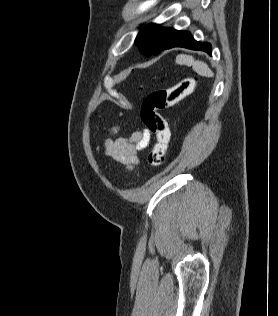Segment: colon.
<instances>
[{
  "mask_svg": "<svg viewBox=\"0 0 278 316\" xmlns=\"http://www.w3.org/2000/svg\"><path fill=\"white\" fill-rule=\"evenodd\" d=\"M195 85L196 79L189 76L169 88L150 92L144 98L140 110L141 119L155 135V144L148 155L151 166L158 167L164 162L170 140L169 127L161 111L191 94Z\"/></svg>",
  "mask_w": 278,
  "mask_h": 316,
  "instance_id": "5ec220e1",
  "label": "colon"
}]
</instances>
